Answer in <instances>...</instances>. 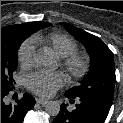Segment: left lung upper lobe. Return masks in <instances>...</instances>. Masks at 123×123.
Returning a JSON list of instances; mask_svg holds the SVG:
<instances>
[{
	"instance_id": "left-lung-upper-lobe-1",
	"label": "left lung upper lobe",
	"mask_w": 123,
	"mask_h": 123,
	"mask_svg": "<svg viewBox=\"0 0 123 123\" xmlns=\"http://www.w3.org/2000/svg\"><path fill=\"white\" fill-rule=\"evenodd\" d=\"M61 24L85 46L91 57L88 75L79 86L65 93L72 97L88 96L112 102L116 81L113 53L99 37L68 23Z\"/></svg>"
}]
</instances>
